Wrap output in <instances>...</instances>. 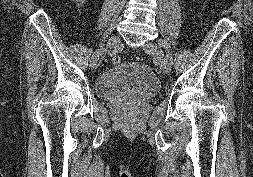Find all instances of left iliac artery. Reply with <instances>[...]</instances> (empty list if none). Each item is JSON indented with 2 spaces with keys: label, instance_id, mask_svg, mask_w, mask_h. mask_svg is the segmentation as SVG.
I'll list each match as a JSON object with an SVG mask.
<instances>
[{
  "label": "left iliac artery",
  "instance_id": "1",
  "mask_svg": "<svg viewBox=\"0 0 253 177\" xmlns=\"http://www.w3.org/2000/svg\"><path fill=\"white\" fill-rule=\"evenodd\" d=\"M161 45H163V42H161ZM172 63H173V61H172Z\"/></svg>",
  "mask_w": 253,
  "mask_h": 177
}]
</instances>
